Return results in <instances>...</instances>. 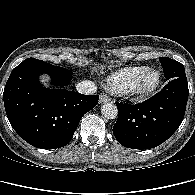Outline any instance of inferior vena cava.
Here are the masks:
<instances>
[{
	"mask_svg": "<svg viewBox=\"0 0 195 195\" xmlns=\"http://www.w3.org/2000/svg\"><path fill=\"white\" fill-rule=\"evenodd\" d=\"M76 90L81 94H94L97 91V86L92 81L84 80L76 85Z\"/></svg>",
	"mask_w": 195,
	"mask_h": 195,
	"instance_id": "obj_1",
	"label": "inferior vena cava"
}]
</instances>
